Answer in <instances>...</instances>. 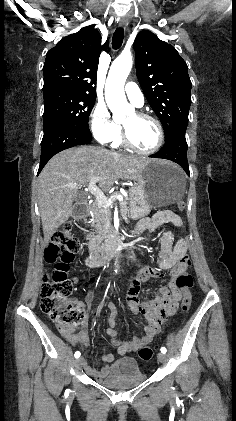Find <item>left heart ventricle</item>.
I'll use <instances>...</instances> for the list:
<instances>
[{
	"label": "left heart ventricle",
	"mask_w": 236,
	"mask_h": 421,
	"mask_svg": "<svg viewBox=\"0 0 236 421\" xmlns=\"http://www.w3.org/2000/svg\"><path fill=\"white\" fill-rule=\"evenodd\" d=\"M122 125L125 127L130 141L142 150L154 147L157 141V130L153 123L140 118L136 112L128 116Z\"/></svg>",
	"instance_id": "b2bd125f"
}]
</instances>
